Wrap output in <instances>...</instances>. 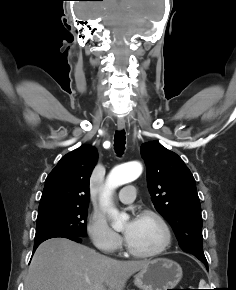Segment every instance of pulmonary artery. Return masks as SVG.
I'll return each instance as SVG.
<instances>
[{
  "mask_svg": "<svg viewBox=\"0 0 236 290\" xmlns=\"http://www.w3.org/2000/svg\"><path fill=\"white\" fill-rule=\"evenodd\" d=\"M136 196V188L133 185H127L118 194V199L122 203H131Z\"/></svg>",
  "mask_w": 236,
  "mask_h": 290,
  "instance_id": "obj_1",
  "label": "pulmonary artery"
}]
</instances>
